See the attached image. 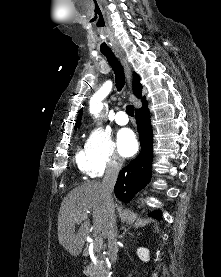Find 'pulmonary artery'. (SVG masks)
Instances as JSON below:
<instances>
[{
    "label": "pulmonary artery",
    "instance_id": "pulmonary-artery-1",
    "mask_svg": "<svg viewBox=\"0 0 221 277\" xmlns=\"http://www.w3.org/2000/svg\"><path fill=\"white\" fill-rule=\"evenodd\" d=\"M115 122L119 125H126L129 121L124 111H118L114 117Z\"/></svg>",
    "mask_w": 221,
    "mask_h": 277
}]
</instances>
